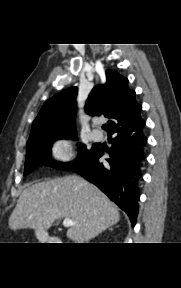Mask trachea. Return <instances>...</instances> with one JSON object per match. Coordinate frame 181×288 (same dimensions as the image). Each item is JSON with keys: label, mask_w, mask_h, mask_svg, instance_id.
<instances>
[{"label": "trachea", "mask_w": 181, "mask_h": 288, "mask_svg": "<svg viewBox=\"0 0 181 288\" xmlns=\"http://www.w3.org/2000/svg\"><path fill=\"white\" fill-rule=\"evenodd\" d=\"M102 128H103L104 130H106V129H107V125L104 124V125L102 126Z\"/></svg>", "instance_id": "trachea-1"}]
</instances>
